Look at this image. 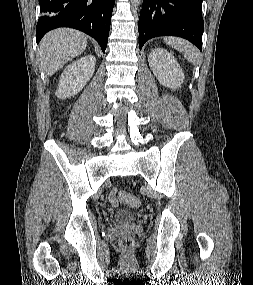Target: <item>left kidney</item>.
<instances>
[{
	"instance_id": "obj_1",
	"label": "left kidney",
	"mask_w": 253,
	"mask_h": 285,
	"mask_svg": "<svg viewBox=\"0 0 253 285\" xmlns=\"http://www.w3.org/2000/svg\"><path fill=\"white\" fill-rule=\"evenodd\" d=\"M149 66L159 83L172 90L181 87L185 77L174 56L163 48L153 49L148 56Z\"/></svg>"
}]
</instances>
